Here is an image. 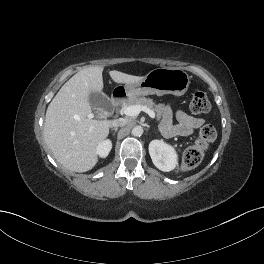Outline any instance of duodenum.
Returning a JSON list of instances; mask_svg holds the SVG:
<instances>
[{
  "instance_id": "duodenum-1",
  "label": "duodenum",
  "mask_w": 264,
  "mask_h": 264,
  "mask_svg": "<svg viewBox=\"0 0 264 264\" xmlns=\"http://www.w3.org/2000/svg\"><path fill=\"white\" fill-rule=\"evenodd\" d=\"M125 97V92H117L115 93L112 98H111V102L114 106H117L120 104V102L123 100V98Z\"/></svg>"
}]
</instances>
